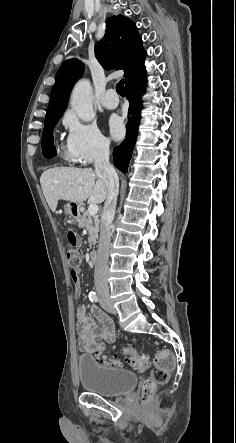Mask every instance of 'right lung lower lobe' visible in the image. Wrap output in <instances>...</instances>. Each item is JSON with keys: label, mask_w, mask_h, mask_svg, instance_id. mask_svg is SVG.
I'll list each match as a JSON object with an SVG mask.
<instances>
[{"label": "right lung lower lobe", "mask_w": 236, "mask_h": 443, "mask_svg": "<svg viewBox=\"0 0 236 443\" xmlns=\"http://www.w3.org/2000/svg\"><path fill=\"white\" fill-rule=\"evenodd\" d=\"M146 86V69L143 67L125 81V95L130 103L128 111V123L126 125L125 140L114 148L113 160L115 166L122 172H127V167L132 155L133 147L137 138L140 122L141 101ZM46 158H52L56 154L55 147L43 151Z\"/></svg>", "instance_id": "obj_1"}]
</instances>
